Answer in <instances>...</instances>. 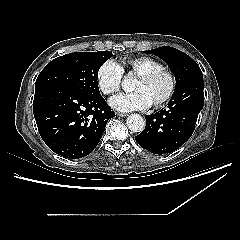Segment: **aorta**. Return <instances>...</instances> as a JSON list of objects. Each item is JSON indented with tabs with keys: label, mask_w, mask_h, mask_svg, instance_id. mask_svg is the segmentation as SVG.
<instances>
[{
	"label": "aorta",
	"mask_w": 240,
	"mask_h": 240,
	"mask_svg": "<svg viewBox=\"0 0 240 240\" xmlns=\"http://www.w3.org/2000/svg\"><path fill=\"white\" fill-rule=\"evenodd\" d=\"M133 76L128 74L122 81L123 89L129 91L133 84ZM127 127L134 133L142 132L145 127V121L139 114H131L126 120Z\"/></svg>",
	"instance_id": "762f6f07"
}]
</instances>
